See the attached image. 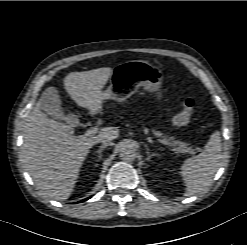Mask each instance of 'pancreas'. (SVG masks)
Here are the masks:
<instances>
[{
    "instance_id": "obj_1",
    "label": "pancreas",
    "mask_w": 247,
    "mask_h": 245,
    "mask_svg": "<svg viewBox=\"0 0 247 245\" xmlns=\"http://www.w3.org/2000/svg\"><path fill=\"white\" fill-rule=\"evenodd\" d=\"M153 132L156 137H161L163 138V140L168 142L170 145H173L174 151L178 153H189V154L194 153V149L192 147H189L187 143L175 140L174 137L165 136L160 131H153Z\"/></svg>"
}]
</instances>
